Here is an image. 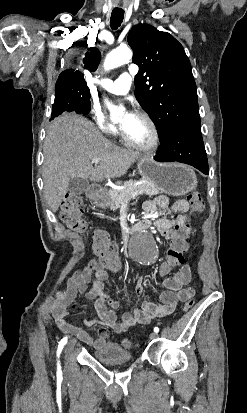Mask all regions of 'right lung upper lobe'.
Wrapping results in <instances>:
<instances>
[{"mask_svg":"<svg viewBox=\"0 0 247 413\" xmlns=\"http://www.w3.org/2000/svg\"><path fill=\"white\" fill-rule=\"evenodd\" d=\"M101 59V54L97 48H89V52L85 54L84 63L85 67L90 71H95ZM69 81H84V76L80 71L74 69H68L63 71L56 83L69 82Z\"/></svg>","mask_w":247,"mask_h":413,"instance_id":"right-lung-upper-lobe-1","label":"right lung upper lobe"}]
</instances>
